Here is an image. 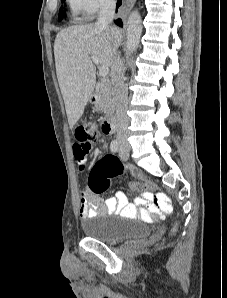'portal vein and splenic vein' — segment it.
I'll return each instance as SVG.
<instances>
[{
  "label": "portal vein and splenic vein",
  "instance_id": "1",
  "mask_svg": "<svg viewBox=\"0 0 227 298\" xmlns=\"http://www.w3.org/2000/svg\"><path fill=\"white\" fill-rule=\"evenodd\" d=\"M91 60L94 64L99 65V59L96 56H91ZM109 73V68L106 66L99 67V75L105 78Z\"/></svg>",
  "mask_w": 227,
  "mask_h": 298
}]
</instances>
